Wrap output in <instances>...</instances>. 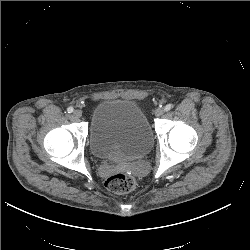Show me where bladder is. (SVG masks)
Instances as JSON below:
<instances>
[{
  "instance_id": "bladder-1",
  "label": "bladder",
  "mask_w": 250,
  "mask_h": 250,
  "mask_svg": "<svg viewBox=\"0 0 250 250\" xmlns=\"http://www.w3.org/2000/svg\"><path fill=\"white\" fill-rule=\"evenodd\" d=\"M88 142L97 159L131 162L151 150L153 132L137 103L127 99H106L92 111Z\"/></svg>"
}]
</instances>
